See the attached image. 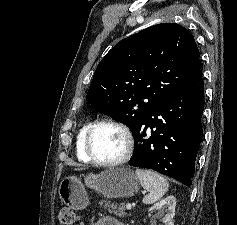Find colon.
Here are the masks:
<instances>
[{
  "label": "colon",
  "mask_w": 237,
  "mask_h": 225,
  "mask_svg": "<svg viewBox=\"0 0 237 225\" xmlns=\"http://www.w3.org/2000/svg\"><path fill=\"white\" fill-rule=\"evenodd\" d=\"M60 225H72L76 221V216L71 209L63 208L58 215Z\"/></svg>",
  "instance_id": "colon-1"
}]
</instances>
